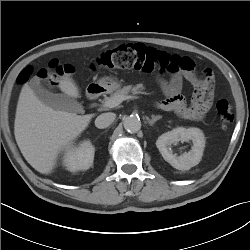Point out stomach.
I'll return each instance as SVG.
<instances>
[{"mask_svg": "<svg viewBox=\"0 0 250 250\" xmlns=\"http://www.w3.org/2000/svg\"><path fill=\"white\" fill-rule=\"evenodd\" d=\"M97 85L104 91L110 93L120 88L121 83L112 77L105 76L97 81Z\"/></svg>", "mask_w": 250, "mask_h": 250, "instance_id": "0dacf381", "label": "stomach"}]
</instances>
